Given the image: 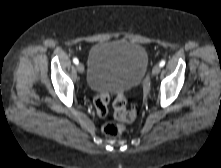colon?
Here are the masks:
<instances>
[{"label": "colon", "instance_id": "5ec220e1", "mask_svg": "<svg viewBox=\"0 0 221 168\" xmlns=\"http://www.w3.org/2000/svg\"><path fill=\"white\" fill-rule=\"evenodd\" d=\"M109 95L103 93L94 100L95 110L98 115L105 116L108 112ZM114 116L121 122H131L135 119L137 111L135 108L128 110L126 108V99L123 92H117L114 103ZM124 129L122 124L107 122L104 124L102 131L107 137H117Z\"/></svg>", "mask_w": 221, "mask_h": 168}]
</instances>
